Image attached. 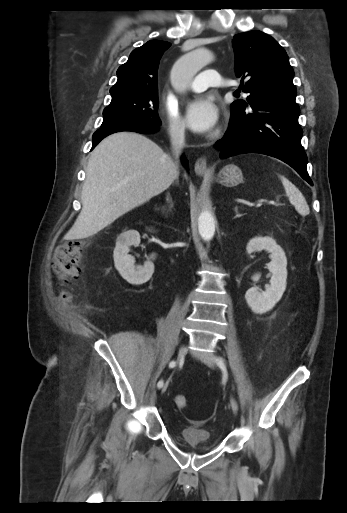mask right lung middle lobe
<instances>
[{"label":"right lung middle lobe","instance_id":"dd1d6c3e","mask_svg":"<svg viewBox=\"0 0 347 513\" xmlns=\"http://www.w3.org/2000/svg\"><path fill=\"white\" fill-rule=\"evenodd\" d=\"M158 104V91L126 92L112 95L110 105L103 111L104 119L101 126L124 121H137L160 126Z\"/></svg>","mask_w":347,"mask_h":513}]
</instances>
